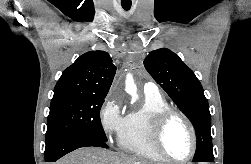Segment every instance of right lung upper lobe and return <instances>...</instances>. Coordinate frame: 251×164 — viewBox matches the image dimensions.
<instances>
[{
    "mask_svg": "<svg viewBox=\"0 0 251 164\" xmlns=\"http://www.w3.org/2000/svg\"><path fill=\"white\" fill-rule=\"evenodd\" d=\"M115 72L116 66L107 52H87L62 73L55 86L54 94L106 96Z\"/></svg>",
    "mask_w": 251,
    "mask_h": 164,
    "instance_id": "1",
    "label": "right lung upper lobe"
}]
</instances>
